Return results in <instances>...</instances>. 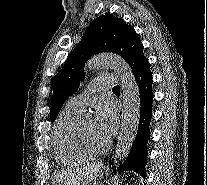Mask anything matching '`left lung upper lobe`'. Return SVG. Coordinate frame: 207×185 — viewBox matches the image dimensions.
Instances as JSON below:
<instances>
[{
  "label": "left lung upper lobe",
  "instance_id": "1",
  "mask_svg": "<svg viewBox=\"0 0 207 185\" xmlns=\"http://www.w3.org/2000/svg\"><path fill=\"white\" fill-rule=\"evenodd\" d=\"M143 45L135 30L112 14L98 17L86 30L81 42L67 58L64 67L52 79L51 121H55L65 100L78 89L84 78V63L100 52L119 54L131 67L134 75L148 68Z\"/></svg>",
  "mask_w": 207,
  "mask_h": 185
}]
</instances>
